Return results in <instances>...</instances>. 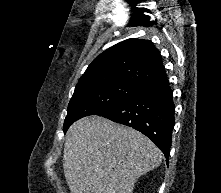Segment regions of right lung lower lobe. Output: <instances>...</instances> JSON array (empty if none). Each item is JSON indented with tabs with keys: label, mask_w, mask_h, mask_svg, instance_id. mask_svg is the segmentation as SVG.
Instances as JSON below:
<instances>
[{
	"label": "right lung lower lobe",
	"mask_w": 221,
	"mask_h": 193,
	"mask_svg": "<svg viewBox=\"0 0 221 193\" xmlns=\"http://www.w3.org/2000/svg\"><path fill=\"white\" fill-rule=\"evenodd\" d=\"M174 114L173 92L164 77L142 85L130 100L98 115L146 135L164 153L168 163Z\"/></svg>",
	"instance_id": "98d812e1"
}]
</instances>
